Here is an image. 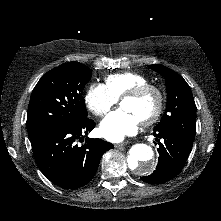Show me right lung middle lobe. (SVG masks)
I'll return each instance as SVG.
<instances>
[{"mask_svg": "<svg viewBox=\"0 0 221 221\" xmlns=\"http://www.w3.org/2000/svg\"><path fill=\"white\" fill-rule=\"evenodd\" d=\"M92 70L78 62H68L48 71L35 86L27 113L29 137L64 128L87 117L82 96Z\"/></svg>", "mask_w": 221, "mask_h": 221, "instance_id": "obj_1", "label": "right lung middle lobe"}]
</instances>
